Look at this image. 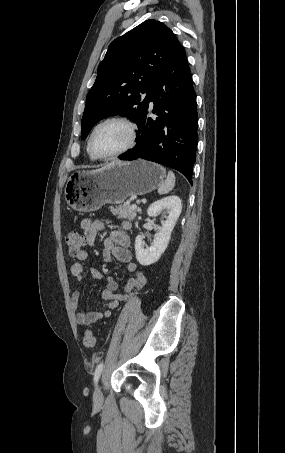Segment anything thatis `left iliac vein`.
I'll list each match as a JSON object with an SVG mask.
<instances>
[{"mask_svg": "<svg viewBox=\"0 0 285 453\" xmlns=\"http://www.w3.org/2000/svg\"><path fill=\"white\" fill-rule=\"evenodd\" d=\"M94 401L96 404H101L103 401V394L99 385L96 386L94 391Z\"/></svg>", "mask_w": 285, "mask_h": 453, "instance_id": "1", "label": "left iliac vein"}]
</instances>
